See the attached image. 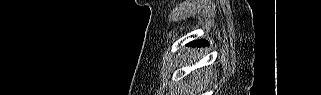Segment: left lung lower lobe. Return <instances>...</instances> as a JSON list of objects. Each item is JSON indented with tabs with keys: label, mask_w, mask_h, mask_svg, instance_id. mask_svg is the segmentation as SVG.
Here are the masks:
<instances>
[{
	"label": "left lung lower lobe",
	"mask_w": 321,
	"mask_h": 95,
	"mask_svg": "<svg viewBox=\"0 0 321 95\" xmlns=\"http://www.w3.org/2000/svg\"><path fill=\"white\" fill-rule=\"evenodd\" d=\"M188 45L189 46H197V47L205 46V45H207V41L206 40H197V41L190 42Z\"/></svg>",
	"instance_id": "obj_1"
}]
</instances>
